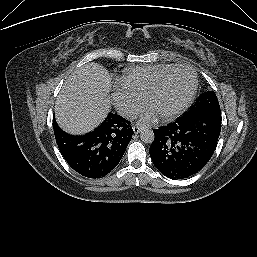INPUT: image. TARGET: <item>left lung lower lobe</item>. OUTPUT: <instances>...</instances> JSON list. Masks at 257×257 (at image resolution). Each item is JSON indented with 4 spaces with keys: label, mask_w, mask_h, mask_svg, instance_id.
Instances as JSON below:
<instances>
[{
    "label": "left lung lower lobe",
    "mask_w": 257,
    "mask_h": 257,
    "mask_svg": "<svg viewBox=\"0 0 257 257\" xmlns=\"http://www.w3.org/2000/svg\"><path fill=\"white\" fill-rule=\"evenodd\" d=\"M221 111H187L174 122L154 129L149 148L156 168L179 180L199 172L212 157L221 131Z\"/></svg>",
    "instance_id": "obj_1"
}]
</instances>
